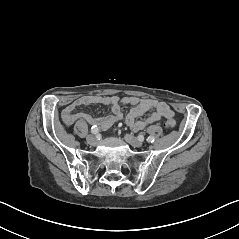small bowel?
<instances>
[{
  "label": "small bowel",
  "instance_id": "c3829d8e",
  "mask_svg": "<svg viewBox=\"0 0 239 239\" xmlns=\"http://www.w3.org/2000/svg\"><path fill=\"white\" fill-rule=\"evenodd\" d=\"M120 103L132 106L126 115V123L133 130L143 129L150 124L160 121L162 118H171L174 115L170 106L163 101L130 96L120 98L118 96L88 95L80 97L68 104L62 112V120L67 126L72 125L78 120H85L90 125L106 130L114 123L123 120L124 113L120 107ZM90 104L110 106L112 114L99 118L86 113L75 112L77 107ZM150 111L152 112L145 119H139Z\"/></svg>",
  "mask_w": 239,
  "mask_h": 239
}]
</instances>
